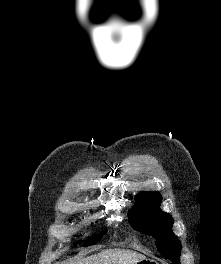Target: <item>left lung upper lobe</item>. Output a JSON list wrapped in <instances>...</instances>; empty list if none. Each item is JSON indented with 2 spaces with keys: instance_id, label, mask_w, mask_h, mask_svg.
Instances as JSON below:
<instances>
[{
  "instance_id": "1",
  "label": "left lung upper lobe",
  "mask_w": 221,
  "mask_h": 264,
  "mask_svg": "<svg viewBox=\"0 0 221 264\" xmlns=\"http://www.w3.org/2000/svg\"><path fill=\"white\" fill-rule=\"evenodd\" d=\"M135 199V206L128 213L130 223L140 232L156 238L159 252L180 264L181 243L172 232V217L159 208L162 201L160 193L142 191Z\"/></svg>"
}]
</instances>
